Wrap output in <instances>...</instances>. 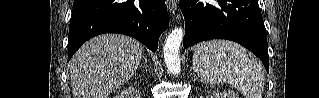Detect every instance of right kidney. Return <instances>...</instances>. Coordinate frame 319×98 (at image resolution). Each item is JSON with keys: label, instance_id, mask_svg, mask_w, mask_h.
Returning <instances> with one entry per match:
<instances>
[{"label": "right kidney", "instance_id": "1", "mask_svg": "<svg viewBox=\"0 0 319 98\" xmlns=\"http://www.w3.org/2000/svg\"><path fill=\"white\" fill-rule=\"evenodd\" d=\"M116 98H125V94H119Z\"/></svg>", "mask_w": 319, "mask_h": 98}]
</instances>
